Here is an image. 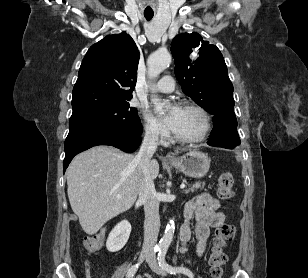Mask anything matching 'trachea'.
<instances>
[{"instance_id":"1","label":"trachea","mask_w":308,"mask_h":278,"mask_svg":"<svg viewBox=\"0 0 308 278\" xmlns=\"http://www.w3.org/2000/svg\"><path fill=\"white\" fill-rule=\"evenodd\" d=\"M154 13L153 12H144V17L146 20H151L153 18Z\"/></svg>"}]
</instances>
